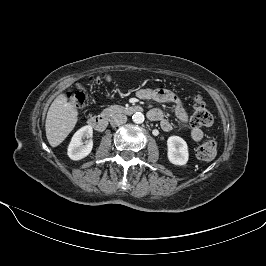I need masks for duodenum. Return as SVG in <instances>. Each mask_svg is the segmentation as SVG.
Segmentation results:
<instances>
[{"label": "duodenum", "instance_id": "410a0bca", "mask_svg": "<svg viewBox=\"0 0 266 266\" xmlns=\"http://www.w3.org/2000/svg\"><path fill=\"white\" fill-rule=\"evenodd\" d=\"M142 108L138 105L119 106L114 105L106 109L97 116H92L88 120V124L96 131H104L108 125L109 119L117 114L132 115L141 112Z\"/></svg>", "mask_w": 266, "mask_h": 266}]
</instances>
